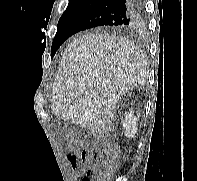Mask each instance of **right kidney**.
Instances as JSON below:
<instances>
[{"label":"right kidney","mask_w":197,"mask_h":181,"mask_svg":"<svg viewBox=\"0 0 197 181\" xmlns=\"http://www.w3.org/2000/svg\"><path fill=\"white\" fill-rule=\"evenodd\" d=\"M139 117L134 116V111L130 110L128 114L125 115L123 121V129L125 130V135L127 137H133L137 132V122Z\"/></svg>","instance_id":"right-kidney-1"}]
</instances>
